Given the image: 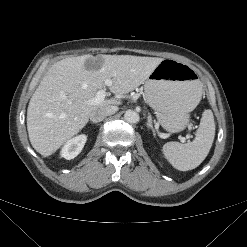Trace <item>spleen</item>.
Here are the masks:
<instances>
[{
  "label": "spleen",
  "mask_w": 247,
  "mask_h": 247,
  "mask_svg": "<svg viewBox=\"0 0 247 247\" xmlns=\"http://www.w3.org/2000/svg\"><path fill=\"white\" fill-rule=\"evenodd\" d=\"M215 137V123L211 110L203 112L200 126L192 142L181 144L168 142L162 151L170 164L180 170L188 171L198 167L208 155Z\"/></svg>",
  "instance_id": "spleen-1"
}]
</instances>
